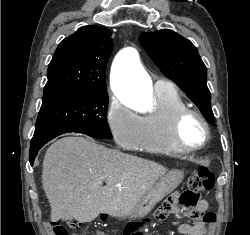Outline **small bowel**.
Segmentation results:
<instances>
[{"instance_id": "c3829d8e", "label": "small bowel", "mask_w": 250, "mask_h": 235, "mask_svg": "<svg viewBox=\"0 0 250 235\" xmlns=\"http://www.w3.org/2000/svg\"><path fill=\"white\" fill-rule=\"evenodd\" d=\"M172 201L168 200L164 203L163 207L159 210V217L156 221L162 222L166 219L168 213L172 210ZM208 208V204L205 200L199 201L195 207L196 215L192 223H178L177 229L182 235H207L208 229L206 223L201 219L197 213L202 214ZM75 235V234H72ZM98 235H102L99 233ZM125 235H140L136 228L130 229Z\"/></svg>"}]
</instances>
